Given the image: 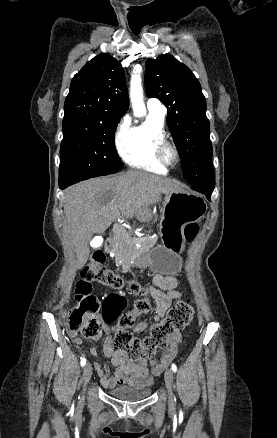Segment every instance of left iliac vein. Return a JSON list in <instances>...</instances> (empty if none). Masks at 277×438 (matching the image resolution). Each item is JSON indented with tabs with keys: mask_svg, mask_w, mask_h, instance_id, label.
<instances>
[{
	"mask_svg": "<svg viewBox=\"0 0 277 438\" xmlns=\"http://www.w3.org/2000/svg\"><path fill=\"white\" fill-rule=\"evenodd\" d=\"M173 370L172 369H167L165 372V383H166V388L168 391V399H169V403L173 402V392H172V383H173Z\"/></svg>",
	"mask_w": 277,
	"mask_h": 438,
	"instance_id": "1",
	"label": "left iliac vein"
}]
</instances>
